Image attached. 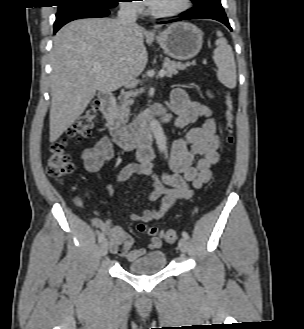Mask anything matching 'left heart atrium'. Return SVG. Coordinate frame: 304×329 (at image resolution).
Instances as JSON below:
<instances>
[{
    "label": "left heart atrium",
    "instance_id": "39dd6f15",
    "mask_svg": "<svg viewBox=\"0 0 304 329\" xmlns=\"http://www.w3.org/2000/svg\"><path fill=\"white\" fill-rule=\"evenodd\" d=\"M154 0H144V2L147 4V5H151L153 3Z\"/></svg>",
    "mask_w": 304,
    "mask_h": 329
}]
</instances>
